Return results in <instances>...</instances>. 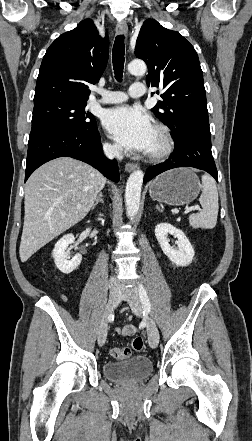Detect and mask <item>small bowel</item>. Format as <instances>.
<instances>
[{
  "label": "small bowel",
  "instance_id": "c3829d8e",
  "mask_svg": "<svg viewBox=\"0 0 252 441\" xmlns=\"http://www.w3.org/2000/svg\"><path fill=\"white\" fill-rule=\"evenodd\" d=\"M115 331L122 336H132L137 332L133 325H126L122 328H116Z\"/></svg>",
  "mask_w": 252,
  "mask_h": 441
}]
</instances>
